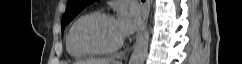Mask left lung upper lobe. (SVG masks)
I'll return each mask as SVG.
<instances>
[{"mask_svg":"<svg viewBox=\"0 0 242 64\" xmlns=\"http://www.w3.org/2000/svg\"><path fill=\"white\" fill-rule=\"evenodd\" d=\"M96 0H68L65 14L62 17V31L65 26L74 19V17L86 6L93 3Z\"/></svg>","mask_w":242,"mask_h":64,"instance_id":"left-lung-upper-lobe-1","label":"left lung upper lobe"}]
</instances>
